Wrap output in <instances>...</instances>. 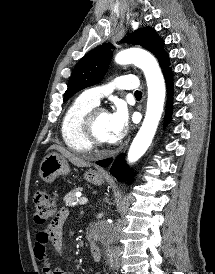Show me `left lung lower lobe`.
I'll use <instances>...</instances> for the list:
<instances>
[{"label":"left lung lower lobe","instance_id":"1","mask_svg":"<svg viewBox=\"0 0 215 274\" xmlns=\"http://www.w3.org/2000/svg\"><path fill=\"white\" fill-rule=\"evenodd\" d=\"M164 77H165L166 84L168 87V95H169L168 103H167V111H166V122H168L171 117L172 96H173V93H172L173 81H172L171 68H169L168 70H166L164 72ZM111 162H112V158H109V159L97 161L96 163L100 166L107 167L108 165H110ZM110 172L115 178H117L118 181H123L125 179L127 167L124 162L123 154L119 155L116 158V160L114 161V163L110 169Z\"/></svg>","mask_w":215,"mask_h":274}]
</instances>
